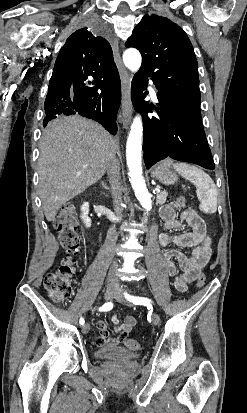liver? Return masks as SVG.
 Listing matches in <instances>:
<instances>
[{"label": "liver", "instance_id": "obj_1", "mask_svg": "<svg viewBox=\"0 0 247 413\" xmlns=\"http://www.w3.org/2000/svg\"><path fill=\"white\" fill-rule=\"evenodd\" d=\"M114 138L99 122L79 114L48 122L40 138L39 194L47 221L62 204L102 178Z\"/></svg>", "mask_w": 247, "mask_h": 413}]
</instances>
